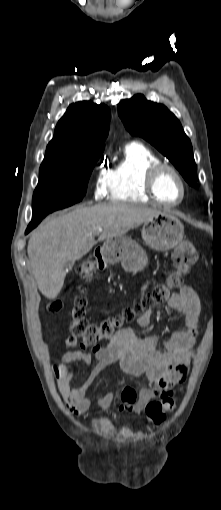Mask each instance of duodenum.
<instances>
[{
	"label": "duodenum",
	"instance_id": "410a0bca",
	"mask_svg": "<svg viewBox=\"0 0 221 510\" xmlns=\"http://www.w3.org/2000/svg\"><path fill=\"white\" fill-rule=\"evenodd\" d=\"M95 257H96V261H97V268L99 270H103L104 267H105V260H104V257H103V250L102 249L96 250Z\"/></svg>",
	"mask_w": 221,
	"mask_h": 510
}]
</instances>
